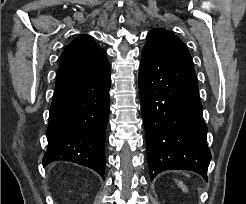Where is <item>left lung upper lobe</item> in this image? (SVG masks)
<instances>
[{"label":"left lung upper lobe","mask_w":246,"mask_h":204,"mask_svg":"<svg viewBox=\"0 0 246 204\" xmlns=\"http://www.w3.org/2000/svg\"><path fill=\"white\" fill-rule=\"evenodd\" d=\"M144 49L150 50L165 59L193 67L191 55L184 43L175 34L167 30H151L147 36Z\"/></svg>","instance_id":"obj_1"}]
</instances>
